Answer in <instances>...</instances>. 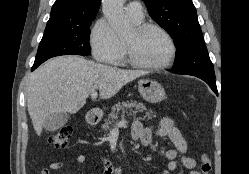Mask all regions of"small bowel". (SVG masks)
Returning a JSON list of instances; mask_svg holds the SVG:
<instances>
[{
  "instance_id": "obj_1",
  "label": "small bowel",
  "mask_w": 249,
  "mask_h": 174,
  "mask_svg": "<svg viewBox=\"0 0 249 174\" xmlns=\"http://www.w3.org/2000/svg\"><path fill=\"white\" fill-rule=\"evenodd\" d=\"M153 132L154 130L152 128L144 127L139 121L133 123V138L145 146L151 144ZM155 133L160 138L168 139L174 147L173 149L164 151V157L169 160L168 169L170 171H176L181 164L184 168L192 170L191 174H200L198 171L194 170L196 167V160L187 155V143L172 119H161ZM75 161L78 164H83L87 161V158L85 155L80 154L75 157ZM101 161L104 166L103 174H121L122 170L119 165L114 164L106 158H103ZM63 167L64 163L61 161L52 162L49 168H45L41 171V174H50L51 171H59Z\"/></svg>"
}]
</instances>
